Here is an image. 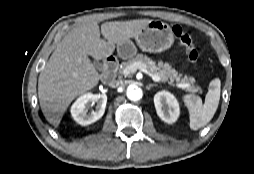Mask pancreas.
I'll use <instances>...</instances> for the list:
<instances>
[{"label": "pancreas", "mask_w": 254, "mask_h": 174, "mask_svg": "<svg viewBox=\"0 0 254 174\" xmlns=\"http://www.w3.org/2000/svg\"><path fill=\"white\" fill-rule=\"evenodd\" d=\"M135 62H141L147 67H151L154 74L160 76L162 81L164 82L168 81L169 83H173L174 81H176L183 84H188L189 87L185 88V90L192 93H197L198 91H201L198 86L193 85L195 82V79L193 77H185L184 81H180L178 72L174 68H172L170 64L163 63L162 61L156 63L154 60L144 54H137L135 57L129 59L128 61L122 62L118 70L119 74L124 75V69Z\"/></svg>", "instance_id": "cf45deb5"}]
</instances>
